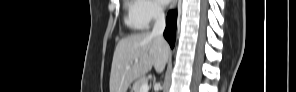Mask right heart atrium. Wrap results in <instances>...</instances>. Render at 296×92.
<instances>
[{
  "label": "right heart atrium",
  "instance_id": "1",
  "mask_svg": "<svg viewBox=\"0 0 296 92\" xmlns=\"http://www.w3.org/2000/svg\"><path fill=\"white\" fill-rule=\"evenodd\" d=\"M135 3L138 19L145 26L162 18L163 10L157 2L152 0H139Z\"/></svg>",
  "mask_w": 296,
  "mask_h": 92
}]
</instances>
